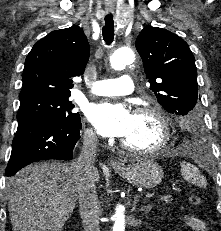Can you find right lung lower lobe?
<instances>
[{"instance_id": "obj_1", "label": "right lung lower lobe", "mask_w": 221, "mask_h": 231, "mask_svg": "<svg viewBox=\"0 0 221 231\" xmlns=\"http://www.w3.org/2000/svg\"><path fill=\"white\" fill-rule=\"evenodd\" d=\"M80 129V121L72 123L52 117L32 118L18 124L6 176L40 160H71Z\"/></svg>"}]
</instances>
